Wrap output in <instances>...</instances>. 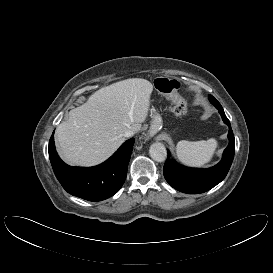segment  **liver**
Masks as SVG:
<instances>
[{
	"label": "liver",
	"mask_w": 273,
	"mask_h": 273,
	"mask_svg": "<svg viewBox=\"0 0 273 273\" xmlns=\"http://www.w3.org/2000/svg\"><path fill=\"white\" fill-rule=\"evenodd\" d=\"M153 85L131 78L103 87L69 112L57 126L60 156L68 163L94 166L109 158L125 141L128 129L138 132L147 118Z\"/></svg>",
	"instance_id": "1"
}]
</instances>
